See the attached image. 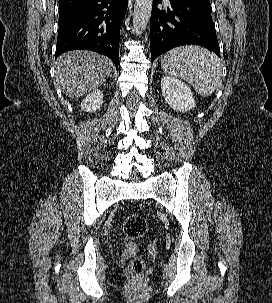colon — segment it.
Segmentation results:
<instances>
[{"label": "colon", "instance_id": "obj_1", "mask_svg": "<svg viewBox=\"0 0 272 303\" xmlns=\"http://www.w3.org/2000/svg\"><path fill=\"white\" fill-rule=\"evenodd\" d=\"M123 229L130 238H141L147 230V222L144 217L136 213H129L124 217ZM144 261L136 257L131 262L130 271L134 278L139 279L144 272Z\"/></svg>", "mask_w": 272, "mask_h": 303}]
</instances>
